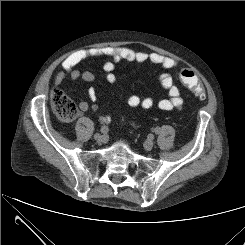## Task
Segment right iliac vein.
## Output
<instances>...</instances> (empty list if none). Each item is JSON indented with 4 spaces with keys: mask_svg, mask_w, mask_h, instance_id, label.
I'll return each mask as SVG.
<instances>
[{
    "mask_svg": "<svg viewBox=\"0 0 245 245\" xmlns=\"http://www.w3.org/2000/svg\"><path fill=\"white\" fill-rule=\"evenodd\" d=\"M94 139H95L97 142L101 143V142H104V141L106 140V137H105V135L96 133V134L94 135Z\"/></svg>",
    "mask_w": 245,
    "mask_h": 245,
    "instance_id": "right-iliac-vein-1",
    "label": "right iliac vein"
}]
</instances>
